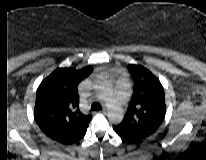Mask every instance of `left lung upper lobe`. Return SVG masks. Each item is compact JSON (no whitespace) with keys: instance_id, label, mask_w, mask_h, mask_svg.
<instances>
[{"instance_id":"left-lung-upper-lobe-1","label":"left lung upper lobe","mask_w":206,"mask_h":160,"mask_svg":"<svg viewBox=\"0 0 206 160\" xmlns=\"http://www.w3.org/2000/svg\"><path fill=\"white\" fill-rule=\"evenodd\" d=\"M128 69L134 91L123 121L115 128L144 138L154 133L165 117L164 89L148 69L132 64Z\"/></svg>"}]
</instances>
